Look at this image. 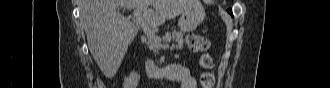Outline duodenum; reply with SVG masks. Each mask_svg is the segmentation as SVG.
<instances>
[{
  "label": "duodenum",
  "mask_w": 330,
  "mask_h": 88,
  "mask_svg": "<svg viewBox=\"0 0 330 88\" xmlns=\"http://www.w3.org/2000/svg\"><path fill=\"white\" fill-rule=\"evenodd\" d=\"M144 69L147 75H149L154 79L167 80V73H166L167 66H159L153 62H146L144 65Z\"/></svg>",
  "instance_id": "410a0bca"
}]
</instances>
